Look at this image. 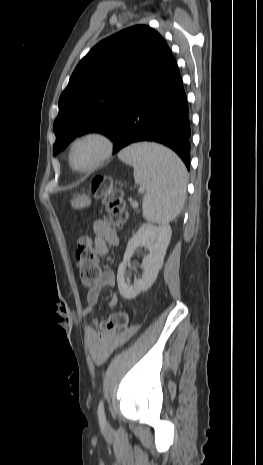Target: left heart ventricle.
I'll return each mask as SVG.
<instances>
[{
	"instance_id": "b2bd125f",
	"label": "left heart ventricle",
	"mask_w": 263,
	"mask_h": 465,
	"mask_svg": "<svg viewBox=\"0 0 263 465\" xmlns=\"http://www.w3.org/2000/svg\"><path fill=\"white\" fill-rule=\"evenodd\" d=\"M102 144L96 139H86L77 143L72 152L75 167L83 169L92 165L102 152Z\"/></svg>"
}]
</instances>
